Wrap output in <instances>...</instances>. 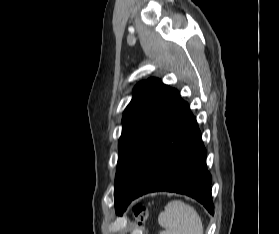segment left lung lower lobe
<instances>
[{
  "label": "left lung lower lobe",
  "instance_id": "left-lung-lower-lobe-1",
  "mask_svg": "<svg viewBox=\"0 0 279 234\" xmlns=\"http://www.w3.org/2000/svg\"><path fill=\"white\" fill-rule=\"evenodd\" d=\"M211 182L196 119L169 88L135 155L121 192L123 209L143 194L170 191L195 198L214 214Z\"/></svg>",
  "mask_w": 279,
  "mask_h": 234
}]
</instances>
